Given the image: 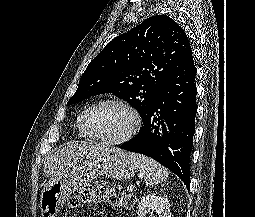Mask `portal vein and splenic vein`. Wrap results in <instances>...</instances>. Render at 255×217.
Returning a JSON list of instances; mask_svg holds the SVG:
<instances>
[{
  "mask_svg": "<svg viewBox=\"0 0 255 217\" xmlns=\"http://www.w3.org/2000/svg\"><path fill=\"white\" fill-rule=\"evenodd\" d=\"M133 189H134V186H128V187H127V191H128V192H133Z\"/></svg>",
  "mask_w": 255,
  "mask_h": 217,
  "instance_id": "1",
  "label": "portal vein and splenic vein"
}]
</instances>
